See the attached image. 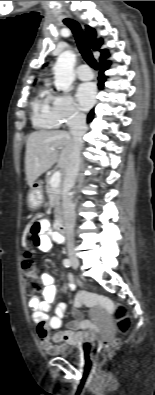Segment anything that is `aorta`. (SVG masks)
Masks as SVG:
<instances>
[{
    "mask_svg": "<svg viewBox=\"0 0 155 395\" xmlns=\"http://www.w3.org/2000/svg\"><path fill=\"white\" fill-rule=\"evenodd\" d=\"M76 56L71 51L62 52L54 65L55 87L58 90L69 92L74 81V65Z\"/></svg>",
    "mask_w": 155,
    "mask_h": 395,
    "instance_id": "aorta-1",
    "label": "aorta"
}]
</instances>
